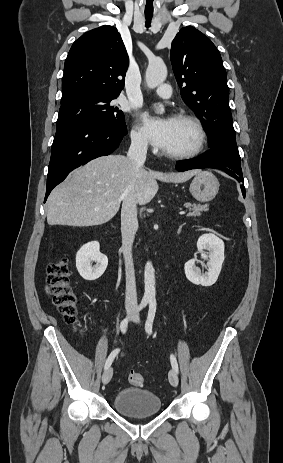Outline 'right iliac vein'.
<instances>
[{
	"mask_svg": "<svg viewBox=\"0 0 283 463\" xmlns=\"http://www.w3.org/2000/svg\"><path fill=\"white\" fill-rule=\"evenodd\" d=\"M130 313V312H129ZM113 369L111 367L107 368L102 376V382L104 385L108 384L112 378Z\"/></svg>",
	"mask_w": 283,
	"mask_h": 463,
	"instance_id": "right-iliac-vein-1",
	"label": "right iliac vein"
}]
</instances>
